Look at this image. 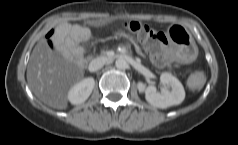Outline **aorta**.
<instances>
[{
	"instance_id": "1",
	"label": "aorta",
	"mask_w": 238,
	"mask_h": 145,
	"mask_svg": "<svg viewBox=\"0 0 238 145\" xmlns=\"http://www.w3.org/2000/svg\"><path fill=\"white\" fill-rule=\"evenodd\" d=\"M115 66H116V68L123 70V69L127 68L128 63L124 58H119V59L116 60Z\"/></svg>"
}]
</instances>
